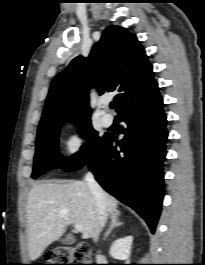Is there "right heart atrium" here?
Masks as SVG:
<instances>
[{
  "instance_id": "right-heart-atrium-1",
  "label": "right heart atrium",
  "mask_w": 205,
  "mask_h": 265,
  "mask_svg": "<svg viewBox=\"0 0 205 265\" xmlns=\"http://www.w3.org/2000/svg\"><path fill=\"white\" fill-rule=\"evenodd\" d=\"M83 144V135L79 132H74L66 138L64 149L69 156H76L81 152Z\"/></svg>"
}]
</instances>
